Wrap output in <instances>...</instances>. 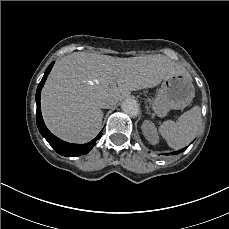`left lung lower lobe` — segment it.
Segmentation results:
<instances>
[{"label": "left lung lower lobe", "instance_id": "left-lung-lower-lobe-1", "mask_svg": "<svg viewBox=\"0 0 229 229\" xmlns=\"http://www.w3.org/2000/svg\"><path fill=\"white\" fill-rule=\"evenodd\" d=\"M186 149H187V147H185V148H183V149H180V150H178V151H175V152H173L172 154H174V155L179 154V153L185 151Z\"/></svg>", "mask_w": 229, "mask_h": 229}]
</instances>
